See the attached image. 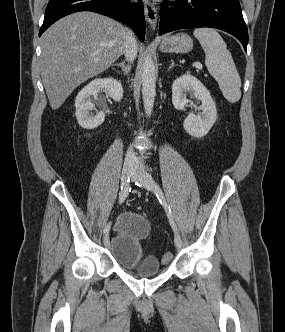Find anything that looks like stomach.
Listing matches in <instances>:
<instances>
[{
    "label": "stomach",
    "mask_w": 285,
    "mask_h": 332,
    "mask_svg": "<svg viewBox=\"0 0 285 332\" xmlns=\"http://www.w3.org/2000/svg\"><path fill=\"white\" fill-rule=\"evenodd\" d=\"M160 49L163 52L188 53L193 49V40L186 33H177L163 38Z\"/></svg>",
    "instance_id": "stomach-1"
}]
</instances>
